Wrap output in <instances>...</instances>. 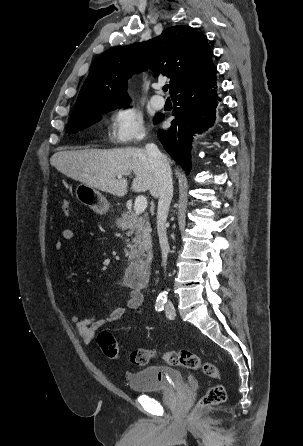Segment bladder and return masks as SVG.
<instances>
[{
	"instance_id": "bladder-1",
	"label": "bladder",
	"mask_w": 303,
	"mask_h": 446,
	"mask_svg": "<svg viewBox=\"0 0 303 446\" xmlns=\"http://www.w3.org/2000/svg\"><path fill=\"white\" fill-rule=\"evenodd\" d=\"M126 380L130 389L139 393L160 392L186 386L180 371L161 366H150L128 373Z\"/></svg>"
}]
</instances>
